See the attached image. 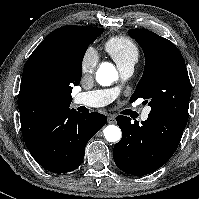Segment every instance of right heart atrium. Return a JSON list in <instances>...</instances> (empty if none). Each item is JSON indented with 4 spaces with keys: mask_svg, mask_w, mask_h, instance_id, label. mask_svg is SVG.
I'll use <instances>...</instances> for the list:
<instances>
[{
    "mask_svg": "<svg viewBox=\"0 0 199 199\" xmlns=\"http://www.w3.org/2000/svg\"><path fill=\"white\" fill-rule=\"evenodd\" d=\"M99 57L96 51L93 48H88L81 61V69L82 71L85 72H90L92 71L97 63H98Z\"/></svg>",
    "mask_w": 199,
    "mask_h": 199,
    "instance_id": "1",
    "label": "right heart atrium"
}]
</instances>
